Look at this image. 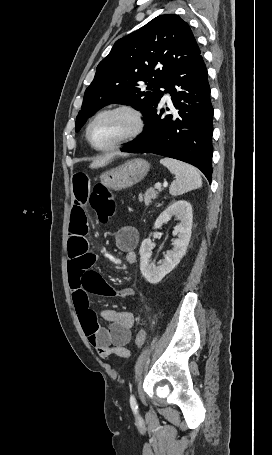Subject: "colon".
I'll return each mask as SVG.
<instances>
[{
    "mask_svg": "<svg viewBox=\"0 0 272 455\" xmlns=\"http://www.w3.org/2000/svg\"><path fill=\"white\" fill-rule=\"evenodd\" d=\"M89 203L96 214L98 220L102 224L109 222L110 218L115 211V201L113 196L105 189V187L98 183L95 185L90 198ZM146 340V331L141 329L138 331L135 339L136 346L142 347ZM122 355H126V352H121Z\"/></svg>",
    "mask_w": 272,
    "mask_h": 455,
    "instance_id": "1",
    "label": "colon"
}]
</instances>
